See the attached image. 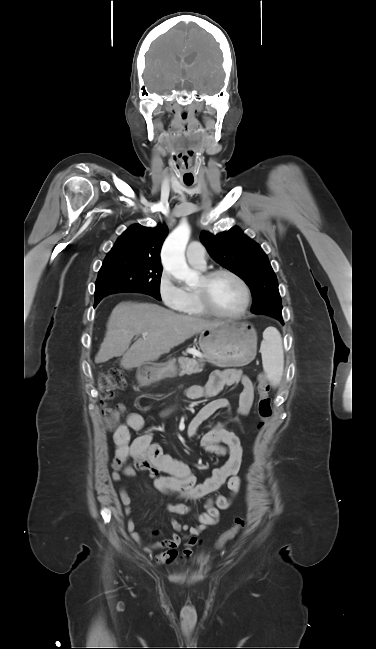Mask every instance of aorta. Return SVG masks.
Masks as SVG:
<instances>
[{"label": "aorta", "instance_id": "obj_1", "mask_svg": "<svg viewBox=\"0 0 376 649\" xmlns=\"http://www.w3.org/2000/svg\"><path fill=\"white\" fill-rule=\"evenodd\" d=\"M190 227L186 223L180 224L165 240L161 259L164 269L179 281L188 285L198 280V273L186 263L185 249L190 238Z\"/></svg>", "mask_w": 376, "mask_h": 649}]
</instances>
